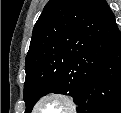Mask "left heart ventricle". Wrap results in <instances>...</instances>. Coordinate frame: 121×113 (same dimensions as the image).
<instances>
[{"mask_svg":"<svg viewBox=\"0 0 121 113\" xmlns=\"http://www.w3.org/2000/svg\"><path fill=\"white\" fill-rule=\"evenodd\" d=\"M67 106L64 102L56 99H48L44 101L38 108V113H64Z\"/></svg>","mask_w":121,"mask_h":113,"instance_id":"b2bd125f","label":"left heart ventricle"}]
</instances>
